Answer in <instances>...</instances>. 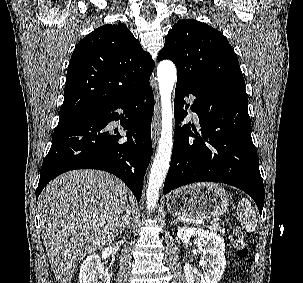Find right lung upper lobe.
Here are the masks:
<instances>
[{
	"label": "right lung upper lobe",
	"instance_id": "1",
	"mask_svg": "<svg viewBox=\"0 0 303 283\" xmlns=\"http://www.w3.org/2000/svg\"><path fill=\"white\" fill-rule=\"evenodd\" d=\"M153 69L150 54L124 24L95 29L72 54L60 118L85 113L135 93L149 83Z\"/></svg>",
	"mask_w": 303,
	"mask_h": 283
}]
</instances>
